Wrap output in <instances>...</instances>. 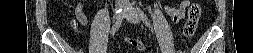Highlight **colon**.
I'll list each match as a JSON object with an SVG mask.
<instances>
[{
  "label": "colon",
  "instance_id": "5ec220e1",
  "mask_svg": "<svg viewBox=\"0 0 253 53\" xmlns=\"http://www.w3.org/2000/svg\"><path fill=\"white\" fill-rule=\"evenodd\" d=\"M202 15V9L200 2L198 0L192 1L189 9H188V18L184 26V36L185 37H191L196 32L199 19ZM74 25L76 26L77 23L74 21ZM127 43L138 50L144 49V43L137 39H127Z\"/></svg>",
  "mask_w": 253,
  "mask_h": 53
}]
</instances>
